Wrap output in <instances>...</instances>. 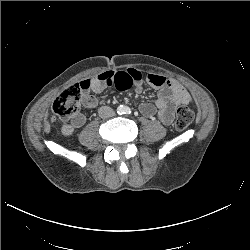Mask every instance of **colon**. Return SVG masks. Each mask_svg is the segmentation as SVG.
<instances>
[{"label": "colon", "mask_w": 250, "mask_h": 250, "mask_svg": "<svg viewBox=\"0 0 250 250\" xmlns=\"http://www.w3.org/2000/svg\"><path fill=\"white\" fill-rule=\"evenodd\" d=\"M82 89L79 84L72 85L63 90L54 100L52 111L60 119H69L79 110ZM194 119L193 111L181 106L176 111L174 126L177 130L182 131L190 126Z\"/></svg>", "instance_id": "colon-1"}]
</instances>
